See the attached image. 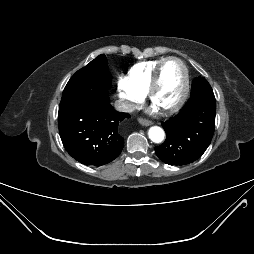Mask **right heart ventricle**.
<instances>
[{
  "label": "right heart ventricle",
  "mask_w": 254,
  "mask_h": 254,
  "mask_svg": "<svg viewBox=\"0 0 254 254\" xmlns=\"http://www.w3.org/2000/svg\"><path fill=\"white\" fill-rule=\"evenodd\" d=\"M164 58H159L155 60L143 61L135 64L128 71V79L131 84L142 94H145L151 83L154 71L157 65Z\"/></svg>",
  "instance_id": "obj_1"
}]
</instances>
